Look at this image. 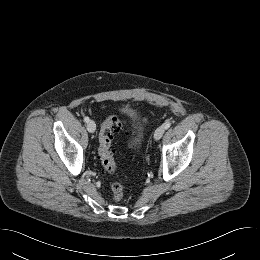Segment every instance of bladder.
I'll return each instance as SVG.
<instances>
[{"label": "bladder", "instance_id": "31cf9c89", "mask_svg": "<svg viewBox=\"0 0 260 260\" xmlns=\"http://www.w3.org/2000/svg\"><path fill=\"white\" fill-rule=\"evenodd\" d=\"M129 111H130L131 113H134V110H132V109H129ZM142 131H143V128H142V127H139V128H138V135H137V137L133 140V145H134V146H139V145L141 144L142 136H143Z\"/></svg>", "mask_w": 260, "mask_h": 260}]
</instances>
